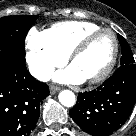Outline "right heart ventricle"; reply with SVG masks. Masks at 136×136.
Here are the masks:
<instances>
[{
    "label": "right heart ventricle",
    "mask_w": 136,
    "mask_h": 136,
    "mask_svg": "<svg viewBox=\"0 0 136 136\" xmlns=\"http://www.w3.org/2000/svg\"><path fill=\"white\" fill-rule=\"evenodd\" d=\"M100 28L92 22L65 21L54 24L44 32L51 44L67 56L85 35Z\"/></svg>",
    "instance_id": "obj_1"
}]
</instances>
